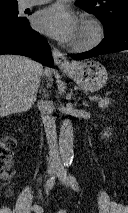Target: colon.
<instances>
[{"label": "colon", "instance_id": "colon-1", "mask_svg": "<svg viewBox=\"0 0 128 213\" xmlns=\"http://www.w3.org/2000/svg\"><path fill=\"white\" fill-rule=\"evenodd\" d=\"M15 140L10 136L0 138V184H6L14 174L12 166L13 147ZM56 213H68L59 209Z\"/></svg>", "mask_w": 128, "mask_h": 213}]
</instances>
